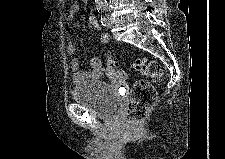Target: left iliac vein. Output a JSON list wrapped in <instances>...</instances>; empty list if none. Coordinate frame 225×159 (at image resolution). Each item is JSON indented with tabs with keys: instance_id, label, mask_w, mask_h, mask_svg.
<instances>
[{
	"instance_id": "left-iliac-vein-1",
	"label": "left iliac vein",
	"mask_w": 225,
	"mask_h": 159,
	"mask_svg": "<svg viewBox=\"0 0 225 159\" xmlns=\"http://www.w3.org/2000/svg\"><path fill=\"white\" fill-rule=\"evenodd\" d=\"M106 26L108 28H111V26H112V18L111 17L108 18V21H107V25Z\"/></svg>"
}]
</instances>
